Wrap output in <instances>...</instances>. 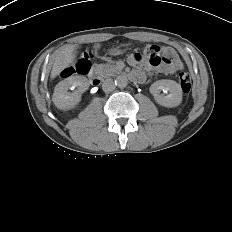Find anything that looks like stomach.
Instances as JSON below:
<instances>
[{
	"instance_id": "obj_1",
	"label": "stomach",
	"mask_w": 232,
	"mask_h": 232,
	"mask_svg": "<svg viewBox=\"0 0 232 232\" xmlns=\"http://www.w3.org/2000/svg\"><path fill=\"white\" fill-rule=\"evenodd\" d=\"M122 53H123V52H122L121 50L116 49V48H114V49H112V50L110 51V54H111V55H114V56L121 55Z\"/></svg>"
}]
</instances>
